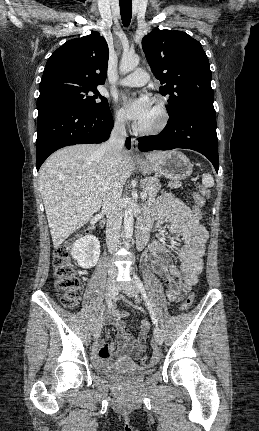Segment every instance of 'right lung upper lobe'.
Segmentation results:
<instances>
[{
	"label": "right lung upper lobe",
	"instance_id": "right-lung-upper-lobe-1",
	"mask_svg": "<svg viewBox=\"0 0 259 431\" xmlns=\"http://www.w3.org/2000/svg\"><path fill=\"white\" fill-rule=\"evenodd\" d=\"M108 57V45L98 32L67 41L48 59L40 82L41 92L52 81L95 88L104 84Z\"/></svg>",
	"mask_w": 259,
	"mask_h": 431
}]
</instances>
